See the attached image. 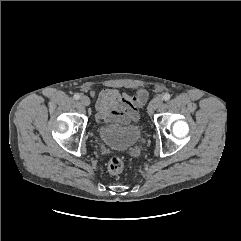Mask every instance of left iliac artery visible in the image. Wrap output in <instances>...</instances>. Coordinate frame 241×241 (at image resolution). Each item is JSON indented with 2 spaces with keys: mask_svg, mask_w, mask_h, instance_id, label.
<instances>
[{
  "mask_svg": "<svg viewBox=\"0 0 241 241\" xmlns=\"http://www.w3.org/2000/svg\"><path fill=\"white\" fill-rule=\"evenodd\" d=\"M162 97L163 100L168 101L171 98V95L169 93H165Z\"/></svg>",
  "mask_w": 241,
  "mask_h": 241,
  "instance_id": "1",
  "label": "left iliac artery"
}]
</instances>
